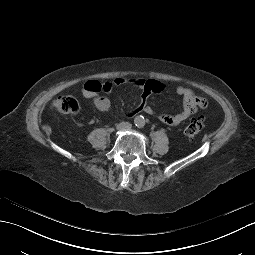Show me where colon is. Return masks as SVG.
<instances>
[{
    "label": "colon",
    "mask_w": 255,
    "mask_h": 255,
    "mask_svg": "<svg viewBox=\"0 0 255 255\" xmlns=\"http://www.w3.org/2000/svg\"><path fill=\"white\" fill-rule=\"evenodd\" d=\"M51 109L57 113L73 115L80 109L79 101L70 95L59 96L53 100ZM205 127L202 118L192 119L186 126L184 133L188 138H193L200 134Z\"/></svg>",
    "instance_id": "colon-1"
}]
</instances>
